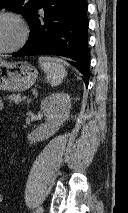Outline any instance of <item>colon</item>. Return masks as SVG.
<instances>
[{
  "mask_svg": "<svg viewBox=\"0 0 128 213\" xmlns=\"http://www.w3.org/2000/svg\"><path fill=\"white\" fill-rule=\"evenodd\" d=\"M2 200H3V197H2V195L0 194V203L2 202Z\"/></svg>",
  "mask_w": 128,
  "mask_h": 213,
  "instance_id": "5ec220e1",
  "label": "colon"
}]
</instances>
